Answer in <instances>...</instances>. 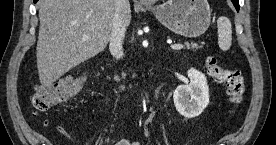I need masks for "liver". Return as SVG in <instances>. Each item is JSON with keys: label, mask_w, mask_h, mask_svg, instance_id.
<instances>
[{"label": "liver", "mask_w": 276, "mask_h": 145, "mask_svg": "<svg viewBox=\"0 0 276 145\" xmlns=\"http://www.w3.org/2000/svg\"><path fill=\"white\" fill-rule=\"evenodd\" d=\"M36 47L39 79L51 86L73 67L103 51L111 37L114 0H40ZM124 22H131L130 5ZM87 35L88 39L83 40Z\"/></svg>", "instance_id": "obj_1"}]
</instances>
